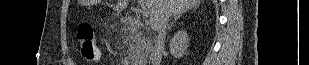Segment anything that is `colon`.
<instances>
[{
    "label": "colon",
    "mask_w": 309,
    "mask_h": 65,
    "mask_svg": "<svg viewBox=\"0 0 309 65\" xmlns=\"http://www.w3.org/2000/svg\"><path fill=\"white\" fill-rule=\"evenodd\" d=\"M77 37L83 59L87 62L98 60L100 51L92 27L88 23H81L77 29Z\"/></svg>",
    "instance_id": "obj_1"
}]
</instances>
